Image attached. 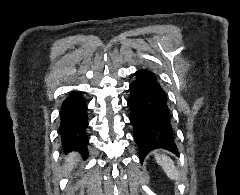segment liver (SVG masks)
I'll use <instances>...</instances> for the list:
<instances>
[{"mask_svg": "<svg viewBox=\"0 0 240 195\" xmlns=\"http://www.w3.org/2000/svg\"><path fill=\"white\" fill-rule=\"evenodd\" d=\"M66 161H68L67 165L65 167H68V169H72L73 167V161H78L79 155L78 153H70V155H67L65 157Z\"/></svg>", "mask_w": 240, "mask_h": 195, "instance_id": "obj_1", "label": "liver"}]
</instances>
